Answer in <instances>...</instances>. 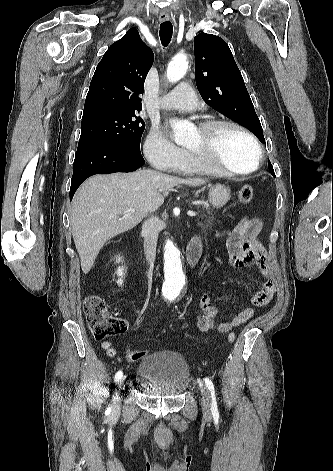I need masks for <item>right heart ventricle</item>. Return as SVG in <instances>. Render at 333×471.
I'll use <instances>...</instances> for the list:
<instances>
[{
    "label": "right heart ventricle",
    "instance_id": "e07e8e85",
    "mask_svg": "<svg viewBox=\"0 0 333 471\" xmlns=\"http://www.w3.org/2000/svg\"><path fill=\"white\" fill-rule=\"evenodd\" d=\"M177 171L184 174H213L207 169L193 163L191 159L189 158V156H186L184 162L177 169Z\"/></svg>",
    "mask_w": 333,
    "mask_h": 471
}]
</instances>
